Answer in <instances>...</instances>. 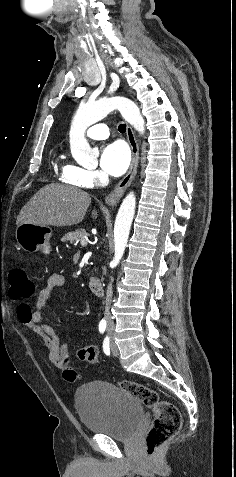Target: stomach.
Wrapping results in <instances>:
<instances>
[{
    "mask_svg": "<svg viewBox=\"0 0 236 477\" xmlns=\"http://www.w3.org/2000/svg\"><path fill=\"white\" fill-rule=\"evenodd\" d=\"M50 226H38L32 223H24L17 227L15 236L18 245L26 252H41L50 254V238L52 236Z\"/></svg>",
    "mask_w": 236,
    "mask_h": 477,
    "instance_id": "obj_1",
    "label": "stomach"
}]
</instances>
